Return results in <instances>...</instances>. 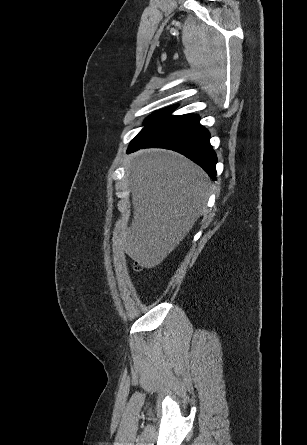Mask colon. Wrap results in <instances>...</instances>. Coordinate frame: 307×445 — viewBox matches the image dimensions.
Listing matches in <instances>:
<instances>
[{
  "mask_svg": "<svg viewBox=\"0 0 307 445\" xmlns=\"http://www.w3.org/2000/svg\"><path fill=\"white\" fill-rule=\"evenodd\" d=\"M135 269H136V270H140V269H141V265L138 264V263H136V264H135Z\"/></svg>",
  "mask_w": 307,
  "mask_h": 445,
  "instance_id": "5ec220e1",
  "label": "colon"
}]
</instances>
